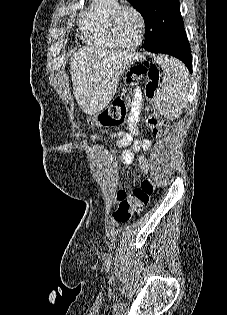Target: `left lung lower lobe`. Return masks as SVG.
<instances>
[{
  "mask_svg": "<svg viewBox=\"0 0 227 315\" xmlns=\"http://www.w3.org/2000/svg\"><path fill=\"white\" fill-rule=\"evenodd\" d=\"M144 49L152 53H164L172 55L180 59L192 72V56L191 49L186 34L177 36L174 39L168 40L159 46H144Z\"/></svg>",
  "mask_w": 227,
  "mask_h": 315,
  "instance_id": "left-lung-lower-lobe-1",
  "label": "left lung lower lobe"
}]
</instances>
